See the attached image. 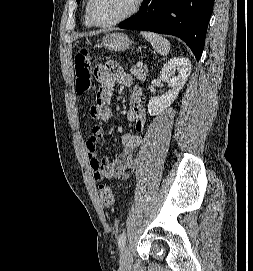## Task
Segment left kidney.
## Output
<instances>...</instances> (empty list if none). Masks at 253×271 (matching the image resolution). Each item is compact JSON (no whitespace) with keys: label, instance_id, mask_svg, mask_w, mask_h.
I'll list each match as a JSON object with an SVG mask.
<instances>
[{"label":"left kidney","instance_id":"1","mask_svg":"<svg viewBox=\"0 0 253 271\" xmlns=\"http://www.w3.org/2000/svg\"><path fill=\"white\" fill-rule=\"evenodd\" d=\"M191 73V62L185 57H173L162 68L160 79L172 89L159 97H152L148 103V113L151 116L158 115L167 109L177 98Z\"/></svg>","mask_w":253,"mask_h":271}]
</instances>
